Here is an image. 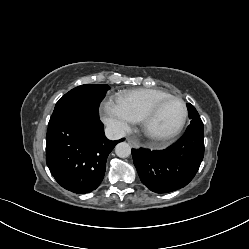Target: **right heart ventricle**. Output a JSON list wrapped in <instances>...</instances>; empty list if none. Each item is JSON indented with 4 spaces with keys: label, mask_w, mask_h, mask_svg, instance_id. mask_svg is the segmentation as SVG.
I'll return each instance as SVG.
<instances>
[{
    "label": "right heart ventricle",
    "mask_w": 249,
    "mask_h": 249,
    "mask_svg": "<svg viewBox=\"0 0 249 249\" xmlns=\"http://www.w3.org/2000/svg\"><path fill=\"white\" fill-rule=\"evenodd\" d=\"M168 96L171 94L158 89H137L120 93L117 100L139 120L153 104Z\"/></svg>",
    "instance_id": "1"
}]
</instances>
